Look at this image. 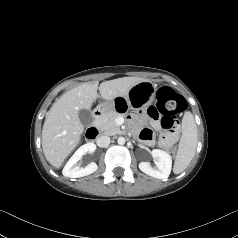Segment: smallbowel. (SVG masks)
Wrapping results in <instances>:
<instances>
[{"instance_id": "c3829d8e", "label": "small bowel", "mask_w": 238, "mask_h": 238, "mask_svg": "<svg viewBox=\"0 0 238 238\" xmlns=\"http://www.w3.org/2000/svg\"><path fill=\"white\" fill-rule=\"evenodd\" d=\"M146 114L151 118V123L154 128L160 129L161 123L163 121V116L160 113H157V109L154 106H149L146 109ZM146 116L144 114H138L135 117L131 118L130 122L134 130L138 132L139 138L147 145H153L155 142V134L149 128H142L141 125L145 122ZM171 139L175 141V136H172ZM161 141V139H160Z\"/></svg>"}]
</instances>
